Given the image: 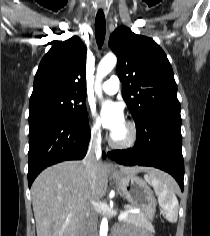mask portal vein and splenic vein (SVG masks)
I'll return each instance as SVG.
<instances>
[{"label": "portal vein and splenic vein", "instance_id": "portal-vein-and-splenic-vein-1", "mask_svg": "<svg viewBox=\"0 0 210 236\" xmlns=\"http://www.w3.org/2000/svg\"><path fill=\"white\" fill-rule=\"evenodd\" d=\"M127 215H128V211H123L118 216V219L123 220V219H125L127 217Z\"/></svg>", "mask_w": 210, "mask_h": 236}]
</instances>
